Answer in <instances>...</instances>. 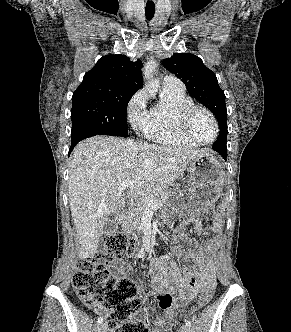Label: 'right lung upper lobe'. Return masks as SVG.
<instances>
[{
  "instance_id": "1",
  "label": "right lung upper lobe",
  "mask_w": 291,
  "mask_h": 332,
  "mask_svg": "<svg viewBox=\"0 0 291 332\" xmlns=\"http://www.w3.org/2000/svg\"><path fill=\"white\" fill-rule=\"evenodd\" d=\"M143 86L141 61L126 55H106L88 71L72 99L111 94L133 95Z\"/></svg>"
}]
</instances>
